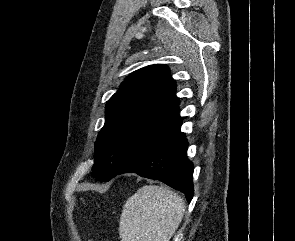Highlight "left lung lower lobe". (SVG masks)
<instances>
[{
	"label": "left lung lower lobe",
	"instance_id": "obj_1",
	"mask_svg": "<svg viewBox=\"0 0 295 241\" xmlns=\"http://www.w3.org/2000/svg\"><path fill=\"white\" fill-rule=\"evenodd\" d=\"M181 125L154 140L111 179L123 173H136L141 177L164 182L183 192L186 199L191 201L194 193V168L187 158L188 142L185 134L180 131Z\"/></svg>",
	"mask_w": 295,
	"mask_h": 241
}]
</instances>
